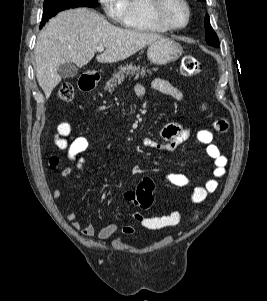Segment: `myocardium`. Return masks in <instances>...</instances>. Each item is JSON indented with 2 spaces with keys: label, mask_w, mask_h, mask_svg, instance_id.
I'll list each match as a JSON object with an SVG mask.
<instances>
[{
  "label": "myocardium",
  "mask_w": 267,
  "mask_h": 301,
  "mask_svg": "<svg viewBox=\"0 0 267 301\" xmlns=\"http://www.w3.org/2000/svg\"><path fill=\"white\" fill-rule=\"evenodd\" d=\"M186 11V20L181 25L172 23L165 15V8L168 0H152V14L156 21L168 30H180L185 28L191 19V8L187 0H180Z\"/></svg>",
  "instance_id": "obj_1"
}]
</instances>
